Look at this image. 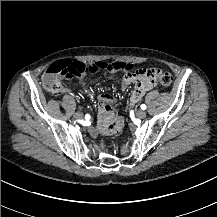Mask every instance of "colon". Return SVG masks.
I'll return each mask as SVG.
<instances>
[{
	"label": "colon",
	"instance_id": "obj_1",
	"mask_svg": "<svg viewBox=\"0 0 217 217\" xmlns=\"http://www.w3.org/2000/svg\"><path fill=\"white\" fill-rule=\"evenodd\" d=\"M131 65L124 61L115 62H94V63H80V62H58L50 66L49 71L45 75V87L52 93H56L63 87L61 76L72 78L73 76H79L88 73H95L99 70H111V71H126L130 70ZM155 68H139L135 71L134 77L141 80L155 79L157 73ZM160 71V69H158ZM162 80L165 86H169L172 83V77L169 73H166ZM101 149L107 146L104 140L98 143Z\"/></svg>",
	"mask_w": 217,
	"mask_h": 217
}]
</instances>
